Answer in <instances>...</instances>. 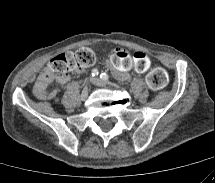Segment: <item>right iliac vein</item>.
Here are the masks:
<instances>
[{
	"label": "right iliac vein",
	"instance_id": "63e3f726",
	"mask_svg": "<svg viewBox=\"0 0 215 183\" xmlns=\"http://www.w3.org/2000/svg\"><path fill=\"white\" fill-rule=\"evenodd\" d=\"M87 97H88V87L85 86L82 90V93H81V99L85 100Z\"/></svg>",
	"mask_w": 215,
	"mask_h": 183
}]
</instances>
